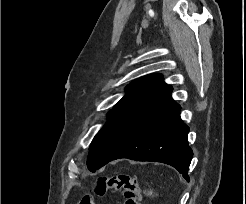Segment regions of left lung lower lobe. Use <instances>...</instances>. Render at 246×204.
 Listing matches in <instances>:
<instances>
[{"label": "left lung lower lobe", "instance_id": "left-lung-lower-lobe-1", "mask_svg": "<svg viewBox=\"0 0 246 204\" xmlns=\"http://www.w3.org/2000/svg\"><path fill=\"white\" fill-rule=\"evenodd\" d=\"M171 91L166 85L111 124L89 149V170L95 172L109 161L128 158L169 164L189 181L193 157L187 141L189 127L181 121L180 106Z\"/></svg>", "mask_w": 246, "mask_h": 204}]
</instances>
